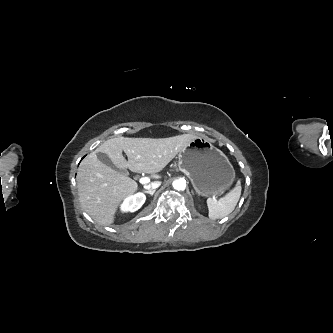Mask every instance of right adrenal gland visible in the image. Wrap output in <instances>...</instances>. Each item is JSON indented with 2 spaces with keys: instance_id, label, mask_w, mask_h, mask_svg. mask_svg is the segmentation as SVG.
I'll use <instances>...</instances> for the list:
<instances>
[{
  "instance_id": "1",
  "label": "right adrenal gland",
  "mask_w": 333,
  "mask_h": 333,
  "mask_svg": "<svg viewBox=\"0 0 333 333\" xmlns=\"http://www.w3.org/2000/svg\"><path fill=\"white\" fill-rule=\"evenodd\" d=\"M155 192H156V190H147V191H144V193L150 194L151 196H153Z\"/></svg>"
}]
</instances>
